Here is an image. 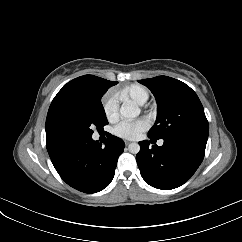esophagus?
Instances as JSON below:
<instances>
[{"label": "esophagus", "mask_w": 242, "mask_h": 242, "mask_svg": "<svg viewBox=\"0 0 242 242\" xmlns=\"http://www.w3.org/2000/svg\"><path fill=\"white\" fill-rule=\"evenodd\" d=\"M130 143V141H125V145H129Z\"/></svg>", "instance_id": "esophagus-1"}]
</instances>
